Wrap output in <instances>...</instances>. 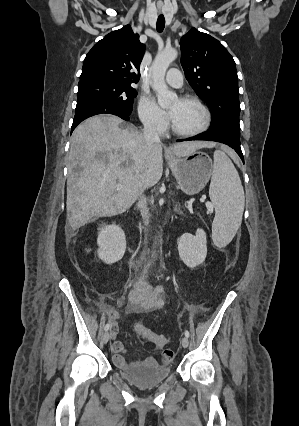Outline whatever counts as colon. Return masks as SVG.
<instances>
[{
	"label": "colon",
	"mask_w": 299,
	"mask_h": 426,
	"mask_svg": "<svg viewBox=\"0 0 299 426\" xmlns=\"http://www.w3.org/2000/svg\"><path fill=\"white\" fill-rule=\"evenodd\" d=\"M134 329L139 336L153 343L157 348H163L169 342L166 336L157 334L140 323L135 324Z\"/></svg>",
	"instance_id": "5ec220e1"
}]
</instances>
